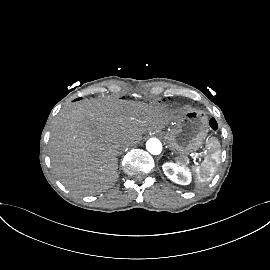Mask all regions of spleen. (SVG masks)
I'll return each mask as SVG.
<instances>
[{
    "instance_id": "obj_1",
    "label": "spleen",
    "mask_w": 270,
    "mask_h": 270,
    "mask_svg": "<svg viewBox=\"0 0 270 270\" xmlns=\"http://www.w3.org/2000/svg\"><path fill=\"white\" fill-rule=\"evenodd\" d=\"M209 156L195 168L197 179L199 182L210 181L212 173L216 170L220 162V144L217 139L211 138L206 145ZM182 168L188 169L187 163H178Z\"/></svg>"
}]
</instances>
